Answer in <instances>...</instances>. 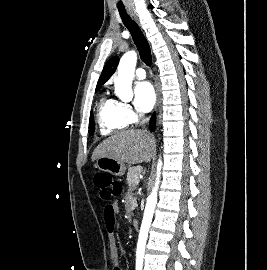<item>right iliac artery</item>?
Here are the masks:
<instances>
[{
	"mask_svg": "<svg viewBox=\"0 0 267 270\" xmlns=\"http://www.w3.org/2000/svg\"><path fill=\"white\" fill-rule=\"evenodd\" d=\"M136 270H142V266H137Z\"/></svg>",
	"mask_w": 267,
	"mask_h": 270,
	"instance_id": "1",
	"label": "right iliac artery"
}]
</instances>
